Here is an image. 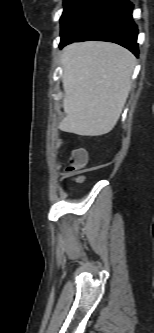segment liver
<instances>
[{"instance_id": "obj_1", "label": "liver", "mask_w": 154, "mask_h": 333, "mask_svg": "<svg viewBox=\"0 0 154 333\" xmlns=\"http://www.w3.org/2000/svg\"><path fill=\"white\" fill-rule=\"evenodd\" d=\"M136 58L109 42L73 43L61 54L66 114L60 130L101 136L116 125L131 89Z\"/></svg>"}]
</instances>
